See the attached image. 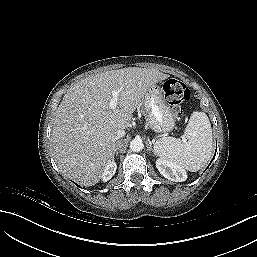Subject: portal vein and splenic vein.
Segmentation results:
<instances>
[{
    "label": "portal vein and splenic vein",
    "instance_id": "obj_1",
    "mask_svg": "<svg viewBox=\"0 0 257 257\" xmlns=\"http://www.w3.org/2000/svg\"><path fill=\"white\" fill-rule=\"evenodd\" d=\"M112 98L109 103V108L110 109H115L117 107V102H118V96L119 92L118 91H112Z\"/></svg>",
    "mask_w": 257,
    "mask_h": 257
}]
</instances>
